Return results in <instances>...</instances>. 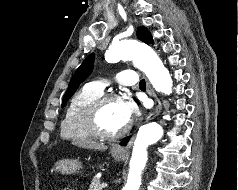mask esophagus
Masks as SVG:
<instances>
[{
	"instance_id": "esophagus-1",
	"label": "esophagus",
	"mask_w": 238,
	"mask_h": 190,
	"mask_svg": "<svg viewBox=\"0 0 238 190\" xmlns=\"http://www.w3.org/2000/svg\"><path fill=\"white\" fill-rule=\"evenodd\" d=\"M147 90H148L149 95H151L154 98V101H155L153 111L150 112L149 115L146 118V120H150V119L154 118L160 112V110H161V102L157 98L154 90L152 89V87L150 86V84L148 82H147Z\"/></svg>"
}]
</instances>
